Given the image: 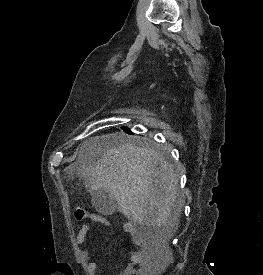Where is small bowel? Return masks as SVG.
Segmentation results:
<instances>
[{
	"label": "small bowel",
	"mask_w": 263,
	"mask_h": 275,
	"mask_svg": "<svg viewBox=\"0 0 263 275\" xmlns=\"http://www.w3.org/2000/svg\"><path fill=\"white\" fill-rule=\"evenodd\" d=\"M89 225H84L76 236V243L82 245L89 233ZM134 243L138 246V249L131 254V263L125 269L124 275H150V262L148 257V247L143 240L141 234L135 230H131ZM85 259V269L89 275H96L97 264L95 262H88L86 255H83Z\"/></svg>",
	"instance_id": "c3829d8e"
}]
</instances>
